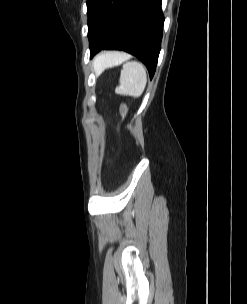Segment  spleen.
Returning a JSON list of instances; mask_svg holds the SVG:
<instances>
[{"instance_id":"obj_1","label":"spleen","mask_w":247,"mask_h":304,"mask_svg":"<svg viewBox=\"0 0 247 304\" xmlns=\"http://www.w3.org/2000/svg\"><path fill=\"white\" fill-rule=\"evenodd\" d=\"M125 59L126 57L124 54L117 53L110 55L103 61L100 69L120 65ZM119 81L120 85L115 89L117 94L132 97L141 96L147 83L145 67L137 61H128L124 63Z\"/></svg>"}]
</instances>
